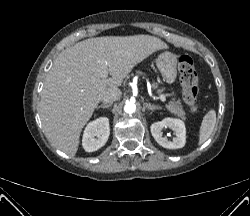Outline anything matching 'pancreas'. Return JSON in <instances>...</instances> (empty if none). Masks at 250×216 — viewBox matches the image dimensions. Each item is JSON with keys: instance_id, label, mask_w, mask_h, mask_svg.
<instances>
[{"instance_id": "pancreas-1", "label": "pancreas", "mask_w": 250, "mask_h": 216, "mask_svg": "<svg viewBox=\"0 0 250 216\" xmlns=\"http://www.w3.org/2000/svg\"><path fill=\"white\" fill-rule=\"evenodd\" d=\"M153 88H157L158 85L156 83H154ZM159 92H161V90H159ZM167 109L174 115H176L177 117H180L182 119H185V111L182 107L181 102L178 100L176 102H170L168 105H166Z\"/></svg>"}]
</instances>
